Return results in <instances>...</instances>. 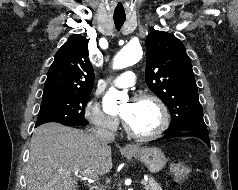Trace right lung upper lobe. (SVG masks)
<instances>
[{"label":"right lung upper lobe","instance_id":"obj_1","mask_svg":"<svg viewBox=\"0 0 238 190\" xmlns=\"http://www.w3.org/2000/svg\"><path fill=\"white\" fill-rule=\"evenodd\" d=\"M93 79V67L88 60V39L80 34L72 35L55 55L42 97L90 94Z\"/></svg>","mask_w":238,"mask_h":190}]
</instances>
